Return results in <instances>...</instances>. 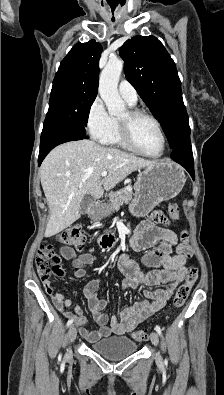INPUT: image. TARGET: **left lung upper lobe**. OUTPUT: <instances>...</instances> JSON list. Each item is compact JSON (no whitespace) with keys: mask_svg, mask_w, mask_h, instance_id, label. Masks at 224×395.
Returning a JSON list of instances; mask_svg holds the SVG:
<instances>
[{"mask_svg":"<svg viewBox=\"0 0 224 395\" xmlns=\"http://www.w3.org/2000/svg\"><path fill=\"white\" fill-rule=\"evenodd\" d=\"M127 80L162 123L173 149L190 132L181 82L173 59L154 36H135L119 49Z\"/></svg>","mask_w":224,"mask_h":395,"instance_id":"5c2ea615","label":"left lung upper lobe"}]
</instances>
